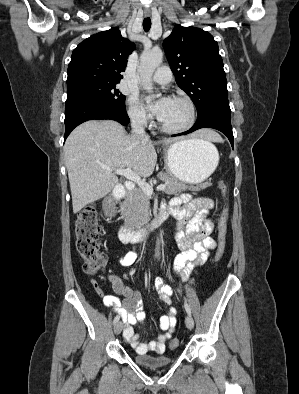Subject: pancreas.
<instances>
[{"label":"pancreas","mask_w":299,"mask_h":394,"mask_svg":"<svg viewBox=\"0 0 299 394\" xmlns=\"http://www.w3.org/2000/svg\"><path fill=\"white\" fill-rule=\"evenodd\" d=\"M158 178L165 183V189L163 190L166 194L176 195L186 190L198 192L211 186V183H202L197 186H187L184 182L178 181L168 173L161 172L158 174ZM150 184H152L150 182ZM149 199L148 196L139 188L132 191L126 204V215L134 229L142 227L149 219Z\"/></svg>","instance_id":"obj_1"}]
</instances>
